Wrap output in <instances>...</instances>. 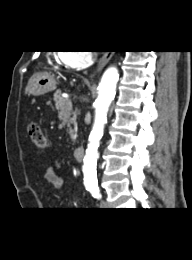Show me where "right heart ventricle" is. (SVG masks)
Segmentation results:
<instances>
[{
    "instance_id": "obj_1",
    "label": "right heart ventricle",
    "mask_w": 192,
    "mask_h": 260,
    "mask_svg": "<svg viewBox=\"0 0 192 260\" xmlns=\"http://www.w3.org/2000/svg\"><path fill=\"white\" fill-rule=\"evenodd\" d=\"M59 56H60V58L62 59L63 54H60Z\"/></svg>"
}]
</instances>
